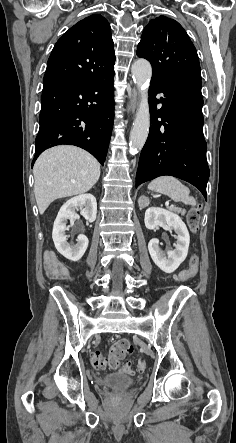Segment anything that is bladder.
Listing matches in <instances>:
<instances>
[{
	"label": "bladder",
	"instance_id": "31cf9c89",
	"mask_svg": "<svg viewBox=\"0 0 236 443\" xmlns=\"http://www.w3.org/2000/svg\"><path fill=\"white\" fill-rule=\"evenodd\" d=\"M134 382L135 380L133 377L123 373H111L103 378V383L106 385L115 383L133 384Z\"/></svg>",
	"mask_w": 236,
	"mask_h": 443
}]
</instances>
